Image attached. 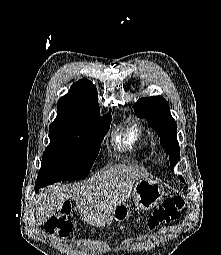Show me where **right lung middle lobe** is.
Wrapping results in <instances>:
<instances>
[{
  "label": "right lung middle lobe",
  "instance_id": "1",
  "mask_svg": "<svg viewBox=\"0 0 221 255\" xmlns=\"http://www.w3.org/2000/svg\"><path fill=\"white\" fill-rule=\"evenodd\" d=\"M111 112L97 119L95 128L51 124L37 183L50 185L86 177L111 123Z\"/></svg>",
  "mask_w": 221,
  "mask_h": 255
}]
</instances>
